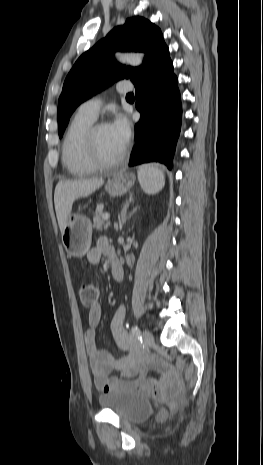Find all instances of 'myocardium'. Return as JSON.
I'll return each instance as SVG.
<instances>
[{
    "instance_id": "f54148a6",
    "label": "myocardium",
    "mask_w": 263,
    "mask_h": 465,
    "mask_svg": "<svg viewBox=\"0 0 263 465\" xmlns=\"http://www.w3.org/2000/svg\"><path fill=\"white\" fill-rule=\"evenodd\" d=\"M104 126H108V124L105 122L93 123L87 129L83 137V147L85 156L88 162L96 169H110L116 167L124 161L127 154V149L124 148L122 153L113 160H105L100 156L98 152L96 138L99 129Z\"/></svg>"
}]
</instances>
